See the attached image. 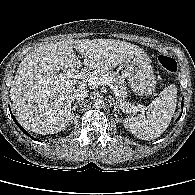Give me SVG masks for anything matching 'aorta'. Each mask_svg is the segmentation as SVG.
<instances>
[{
  "label": "aorta",
  "instance_id": "obj_1",
  "mask_svg": "<svg viewBox=\"0 0 195 195\" xmlns=\"http://www.w3.org/2000/svg\"><path fill=\"white\" fill-rule=\"evenodd\" d=\"M104 100L101 97H97L93 101V105L96 108H102L104 106Z\"/></svg>",
  "mask_w": 195,
  "mask_h": 195
}]
</instances>
